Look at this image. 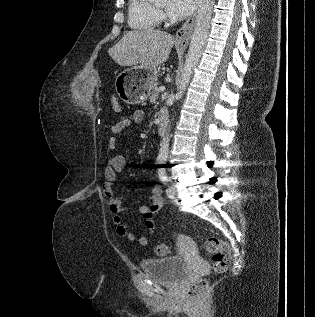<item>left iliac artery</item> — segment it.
Listing matches in <instances>:
<instances>
[{"mask_svg": "<svg viewBox=\"0 0 315 317\" xmlns=\"http://www.w3.org/2000/svg\"><path fill=\"white\" fill-rule=\"evenodd\" d=\"M159 178L163 183L168 182V177L165 174V169L163 167L158 169ZM169 189V188H168ZM167 189V190H168Z\"/></svg>", "mask_w": 315, "mask_h": 317, "instance_id": "1", "label": "left iliac artery"}]
</instances>
